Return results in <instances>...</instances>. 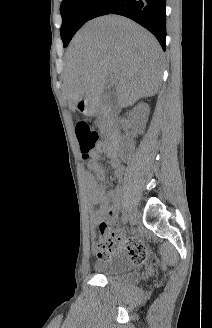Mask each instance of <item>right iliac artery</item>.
<instances>
[{"label":"right iliac artery","mask_w":212,"mask_h":328,"mask_svg":"<svg viewBox=\"0 0 212 328\" xmlns=\"http://www.w3.org/2000/svg\"><path fill=\"white\" fill-rule=\"evenodd\" d=\"M128 220H129L128 213L127 212L126 213H123V215H122V222H123V224H126L128 222Z\"/></svg>","instance_id":"obj_1"}]
</instances>
